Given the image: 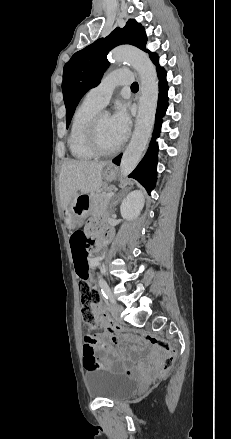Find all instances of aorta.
Here are the masks:
<instances>
[{
  "instance_id": "obj_1",
  "label": "aorta",
  "mask_w": 231,
  "mask_h": 439,
  "mask_svg": "<svg viewBox=\"0 0 231 439\" xmlns=\"http://www.w3.org/2000/svg\"><path fill=\"white\" fill-rule=\"evenodd\" d=\"M110 59L131 64L141 80L135 129L120 162L121 174L127 176L136 168L151 136L158 102V78L152 61L139 49L117 47L112 50Z\"/></svg>"
}]
</instances>
